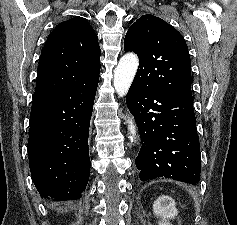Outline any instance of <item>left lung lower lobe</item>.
<instances>
[{"instance_id":"left-lung-lower-lobe-1","label":"left lung lower lobe","mask_w":237,"mask_h":225,"mask_svg":"<svg viewBox=\"0 0 237 225\" xmlns=\"http://www.w3.org/2000/svg\"><path fill=\"white\" fill-rule=\"evenodd\" d=\"M126 101L142 142L136 158L140 179L199 182L200 145L192 96L145 91L132 83Z\"/></svg>"}]
</instances>
